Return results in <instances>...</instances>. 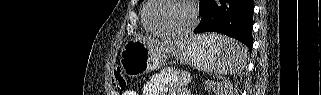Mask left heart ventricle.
I'll return each instance as SVG.
<instances>
[{"label":"left heart ventricle","mask_w":321,"mask_h":95,"mask_svg":"<svg viewBox=\"0 0 321 95\" xmlns=\"http://www.w3.org/2000/svg\"><path fill=\"white\" fill-rule=\"evenodd\" d=\"M148 19L158 30L179 31L189 25L191 14L188 5L181 0H159L151 6Z\"/></svg>","instance_id":"1"}]
</instances>
